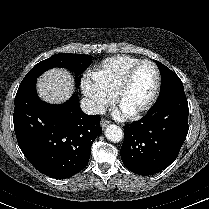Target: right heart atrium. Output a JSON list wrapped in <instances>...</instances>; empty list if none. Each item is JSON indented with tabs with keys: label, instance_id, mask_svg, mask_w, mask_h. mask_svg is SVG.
<instances>
[{
	"label": "right heart atrium",
	"instance_id": "1",
	"mask_svg": "<svg viewBox=\"0 0 209 209\" xmlns=\"http://www.w3.org/2000/svg\"><path fill=\"white\" fill-rule=\"evenodd\" d=\"M81 87L92 109L97 113L102 112L113 100V94L104 89L91 77H84Z\"/></svg>",
	"mask_w": 209,
	"mask_h": 209
}]
</instances>
